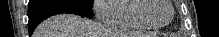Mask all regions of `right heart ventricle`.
Here are the masks:
<instances>
[{"instance_id":"obj_1","label":"right heart ventricle","mask_w":219,"mask_h":37,"mask_svg":"<svg viewBox=\"0 0 219 37\" xmlns=\"http://www.w3.org/2000/svg\"><path fill=\"white\" fill-rule=\"evenodd\" d=\"M139 0L119 1L116 12L117 19L113 23L115 27L133 30H154L155 28L146 25L139 19L136 13Z\"/></svg>"}]
</instances>
